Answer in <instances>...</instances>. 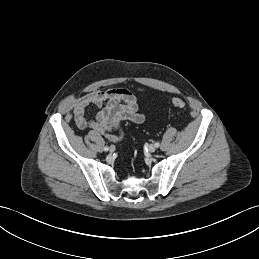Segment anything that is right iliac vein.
<instances>
[{
    "instance_id": "right-iliac-vein-1",
    "label": "right iliac vein",
    "mask_w": 259,
    "mask_h": 259,
    "mask_svg": "<svg viewBox=\"0 0 259 259\" xmlns=\"http://www.w3.org/2000/svg\"><path fill=\"white\" fill-rule=\"evenodd\" d=\"M109 151H110L111 153H113V152L115 151V147H114V146H111V147L109 148Z\"/></svg>"
}]
</instances>
